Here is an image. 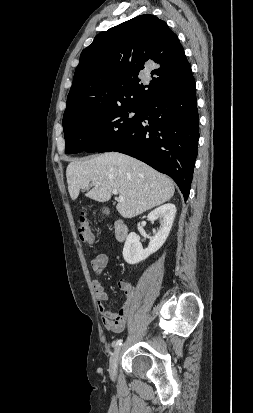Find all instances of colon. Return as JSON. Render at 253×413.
I'll return each mask as SVG.
<instances>
[{
  "label": "colon",
  "instance_id": "colon-1",
  "mask_svg": "<svg viewBox=\"0 0 253 413\" xmlns=\"http://www.w3.org/2000/svg\"><path fill=\"white\" fill-rule=\"evenodd\" d=\"M77 233L82 242L89 245H92L94 243V235L84 213H82L79 217L77 224Z\"/></svg>",
  "mask_w": 253,
  "mask_h": 413
}]
</instances>
